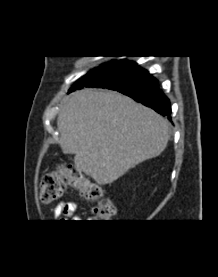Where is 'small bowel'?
Segmentation results:
<instances>
[{
	"label": "small bowel",
	"instance_id": "small-bowel-1",
	"mask_svg": "<svg viewBox=\"0 0 218 277\" xmlns=\"http://www.w3.org/2000/svg\"><path fill=\"white\" fill-rule=\"evenodd\" d=\"M76 209L77 205L73 201L61 202L53 210V219L61 221L79 220L80 218L76 215Z\"/></svg>",
	"mask_w": 218,
	"mask_h": 277
}]
</instances>
